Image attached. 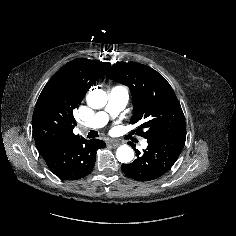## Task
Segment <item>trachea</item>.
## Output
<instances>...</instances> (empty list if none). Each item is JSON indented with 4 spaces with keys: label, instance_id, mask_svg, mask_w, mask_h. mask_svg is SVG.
Listing matches in <instances>:
<instances>
[{
    "label": "trachea",
    "instance_id": "obj_1",
    "mask_svg": "<svg viewBox=\"0 0 236 236\" xmlns=\"http://www.w3.org/2000/svg\"><path fill=\"white\" fill-rule=\"evenodd\" d=\"M88 137H89V138L98 137V132H97V131H94V130H91V131L88 133Z\"/></svg>",
    "mask_w": 236,
    "mask_h": 236
}]
</instances>
